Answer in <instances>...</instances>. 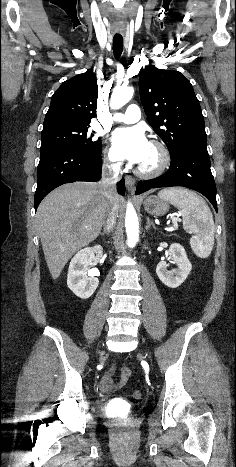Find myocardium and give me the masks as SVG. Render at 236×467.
I'll list each match as a JSON object with an SVG mask.
<instances>
[{"label": "myocardium", "mask_w": 236, "mask_h": 467, "mask_svg": "<svg viewBox=\"0 0 236 467\" xmlns=\"http://www.w3.org/2000/svg\"><path fill=\"white\" fill-rule=\"evenodd\" d=\"M150 145L157 151L159 159L158 163L153 168L148 169L140 165L136 168L137 174L144 178H154L160 176L168 169L171 163L170 152L163 142L160 140H152Z\"/></svg>", "instance_id": "obj_1"}]
</instances>
